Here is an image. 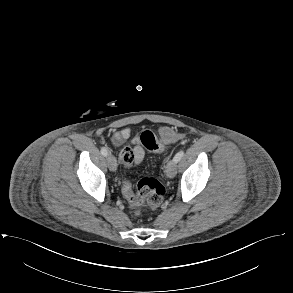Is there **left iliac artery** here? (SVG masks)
Returning a JSON list of instances; mask_svg holds the SVG:
<instances>
[{
	"mask_svg": "<svg viewBox=\"0 0 293 293\" xmlns=\"http://www.w3.org/2000/svg\"><path fill=\"white\" fill-rule=\"evenodd\" d=\"M184 155V150H180L176 153V155L174 156V160L176 162L180 161V159L183 157Z\"/></svg>",
	"mask_w": 293,
	"mask_h": 293,
	"instance_id": "44dca946",
	"label": "left iliac artery"
}]
</instances>
